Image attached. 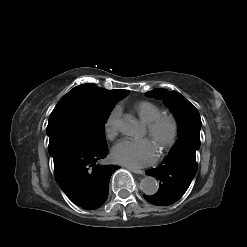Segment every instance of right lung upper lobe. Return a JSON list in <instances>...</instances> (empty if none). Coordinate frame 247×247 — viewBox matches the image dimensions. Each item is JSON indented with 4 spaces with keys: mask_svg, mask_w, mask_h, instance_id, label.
Masks as SVG:
<instances>
[{
    "mask_svg": "<svg viewBox=\"0 0 247 247\" xmlns=\"http://www.w3.org/2000/svg\"><path fill=\"white\" fill-rule=\"evenodd\" d=\"M77 87L88 89V90H91L93 92L99 93L100 95H102L105 98L116 97V96L123 94L125 91H127V90H106V89L97 87L94 84H85V85L83 84V85H79Z\"/></svg>",
    "mask_w": 247,
    "mask_h": 247,
    "instance_id": "cb5924a9",
    "label": "right lung upper lobe"
}]
</instances>
